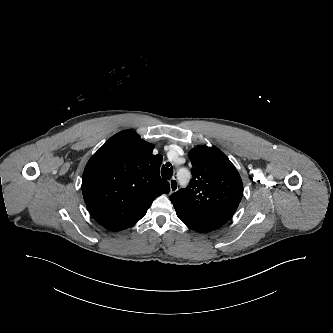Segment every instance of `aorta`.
<instances>
[{
	"mask_svg": "<svg viewBox=\"0 0 333 333\" xmlns=\"http://www.w3.org/2000/svg\"><path fill=\"white\" fill-rule=\"evenodd\" d=\"M187 175H188V172L185 169H180L177 172V177L179 178V180L181 182H183L184 178L187 177Z\"/></svg>",
	"mask_w": 333,
	"mask_h": 333,
	"instance_id": "762f6f07",
	"label": "aorta"
}]
</instances>
